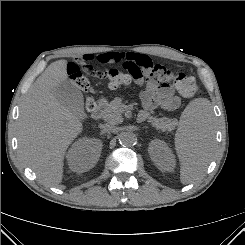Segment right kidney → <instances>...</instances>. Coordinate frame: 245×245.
<instances>
[{
  "label": "right kidney",
  "instance_id": "right-kidney-1",
  "mask_svg": "<svg viewBox=\"0 0 245 245\" xmlns=\"http://www.w3.org/2000/svg\"><path fill=\"white\" fill-rule=\"evenodd\" d=\"M102 150L99 139L82 138L76 141L68 151L67 162L73 172L83 173L95 166Z\"/></svg>",
  "mask_w": 245,
  "mask_h": 245
}]
</instances>
